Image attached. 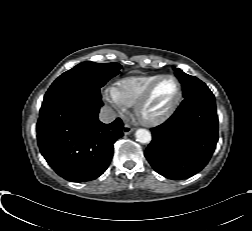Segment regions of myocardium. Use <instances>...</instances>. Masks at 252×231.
<instances>
[{
    "mask_svg": "<svg viewBox=\"0 0 252 231\" xmlns=\"http://www.w3.org/2000/svg\"><path fill=\"white\" fill-rule=\"evenodd\" d=\"M166 78L173 79L176 82L177 85V94L173 100V102L170 104V106L167 108L165 112L160 114L159 116L156 117H146L143 114V109L145 105L148 103L150 100L154 90L158 86V84ZM182 98V84L179 81L177 77L171 74H164L159 76L154 82H152L149 87L145 90V92L142 94V96L139 98V100L136 102L134 105V114L135 117L139 120L140 123H142L145 126H157L165 121H167L173 113L176 111L177 107L180 104Z\"/></svg>",
    "mask_w": 252,
    "mask_h": 231,
    "instance_id": "myocardium-1",
    "label": "myocardium"
}]
</instances>
